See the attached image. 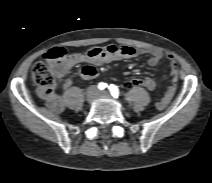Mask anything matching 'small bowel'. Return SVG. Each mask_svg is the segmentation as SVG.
I'll return each instance as SVG.
<instances>
[{
	"instance_id": "small-bowel-1",
	"label": "small bowel",
	"mask_w": 212,
	"mask_h": 183,
	"mask_svg": "<svg viewBox=\"0 0 212 183\" xmlns=\"http://www.w3.org/2000/svg\"><path fill=\"white\" fill-rule=\"evenodd\" d=\"M140 55H149L148 65L155 67L166 56L171 66V81L172 84L166 90L163 97L156 102V108L159 110L164 109L172 100L176 91V82L178 80V67L176 59L172 55H165L159 48H146L138 49L131 46H104L93 47L85 53H74L53 66L55 77L62 80L68 71L77 64L88 63L89 65L83 67L80 71V76L84 80L94 79L98 75L95 66L108 64L115 61L135 58ZM149 83L148 90H154L156 87L155 80L148 76L145 78ZM72 85L70 79L62 80V87L67 89ZM39 96L46 102L48 108L55 112L60 113L64 109V102L61 96L57 93L54 87L41 88L38 91Z\"/></svg>"
}]
</instances>
